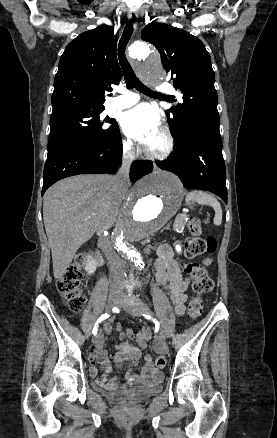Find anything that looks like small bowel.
<instances>
[{
  "instance_id": "1",
  "label": "small bowel",
  "mask_w": 277,
  "mask_h": 438,
  "mask_svg": "<svg viewBox=\"0 0 277 438\" xmlns=\"http://www.w3.org/2000/svg\"><path fill=\"white\" fill-rule=\"evenodd\" d=\"M175 251L170 245H163L158 250V257L155 263L157 274L156 279L160 285H167V289L170 293L172 303L175 307L177 315H183L185 313V303H186V290L189 286V279L182 275L180 269V262L174 258ZM103 333L106 337L112 336L111 327L108 325L103 326ZM130 331V328H127ZM151 337V332L149 329H143L137 337L138 346L129 345L127 342H122L117 349L115 356V362L117 364H122L125 360H129L132 366L135 367L136 363L141 355V349L147 347V342ZM123 339V336L120 335ZM125 340H134V333H125ZM97 350L92 349L90 353L91 361H98L101 364L102 369L105 373L111 370V364L103 353L106 350L104 345L98 342ZM91 375L96 376L97 371L95 368H91ZM133 380L139 381L144 380L151 383H156L159 379L158 371L155 369L152 356L147 354L145 356V364L142 366L141 374H131ZM96 382L99 386L105 387L108 390H113L118 387V383L115 380L107 381L104 376L96 377Z\"/></svg>"
}]
</instances>
